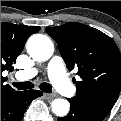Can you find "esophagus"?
Wrapping results in <instances>:
<instances>
[{"label": "esophagus", "mask_w": 121, "mask_h": 121, "mask_svg": "<svg viewBox=\"0 0 121 121\" xmlns=\"http://www.w3.org/2000/svg\"><path fill=\"white\" fill-rule=\"evenodd\" d=\"M44 96H45L47 99H53V98H55V95H54V94L44 93Z\"/></svg>", "instance_id": "obj_1"}]
</instances>
